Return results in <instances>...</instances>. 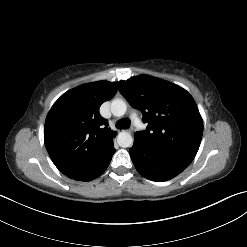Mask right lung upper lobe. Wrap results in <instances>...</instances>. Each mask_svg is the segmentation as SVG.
<instances>
[{"mask_svg":"<svg viewBox=\"0 0 247 247\" xmlns=\"http://www.w3.org/2000/svg\"><path fill=\"white\" fill-rule=\"evenodd\" d=\"M117 92V84L98 81L65 93L47 115L44 142L60 172L72 176L99 162L113 147L115 133L99 114L103 102Z\"/></svg>","mask_w":247,"mask_h":247,"instance_id":"right-lung-upper-lobe-1","label":"right lung upper lobe"}]
</instances>
